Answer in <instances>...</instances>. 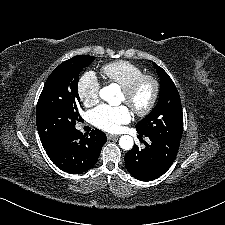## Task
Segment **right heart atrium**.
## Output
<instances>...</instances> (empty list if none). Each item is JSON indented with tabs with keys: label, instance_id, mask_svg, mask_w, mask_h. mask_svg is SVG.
<instances>
[{
	"label": "right heart atrium",
	"instance_id": "d8ad5b80",
	"mask_svg": "<svg viewBox=\"0 0 225 225\" xmlns=\"http://www.w3.org/2000/svg\"><path fill=\"white\" fill-rule=\"evenodd\" d=\"M100 89L101 84L94 71L87 70L80 76L77 83V93L86 107H92L98 103Z\"/></svg>",
	"mask_w": 225,
	"mask_h": 225
}]
</instances>
